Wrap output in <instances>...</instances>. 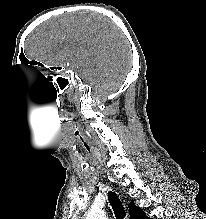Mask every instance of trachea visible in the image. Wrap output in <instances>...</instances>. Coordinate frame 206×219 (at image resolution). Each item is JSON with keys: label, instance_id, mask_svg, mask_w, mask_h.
<instances>
[{"label": "trachea", "instance_id": "trachea-1", "mask_svg": "<svg viewBox=\"0 0 206 219\" xmlns=\"http://www.w3.org/2000/svg\"><path fill=\"white\" fill-rule=\"evenodd\" d=\"M108 200L114 211L116 219H124L126 213L118 196L114 192L110 191L108 192Z\"/></svg>", "mask_w": 206, "mask_h": 219}]
</instances>
